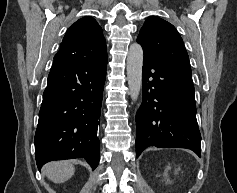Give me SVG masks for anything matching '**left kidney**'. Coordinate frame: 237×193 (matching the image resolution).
Here are the masks:
<instances>
[{"label": "left kidney", "instance_id": "obj_1", "mask_svg": "<svg viewBox=\"0 0 237 193\" xmlns=\"http://www.w3.org/2000/svg\"><path fill=\"white\" fill-rule=\"evenodd\" d=\"M168 170H170V166H167L166 172H167ZM165 176H167V173H165Z\"/></svg>", "mask_w": 237, "mask_h": 193}]
</instances>
